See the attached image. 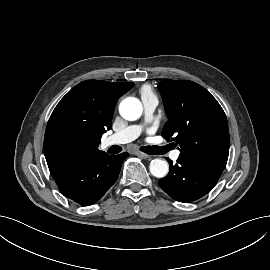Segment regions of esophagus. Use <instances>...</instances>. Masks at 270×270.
Instances as JSON below:
<instances>
[{"label":"esophagus","mask_w":270,"mask_h":270,"mask_svg":"<svg viewBox=\"0 0 270 270\" xmlns=\"http://www.w3.org/2000/svg\"><path fill=\"white\" fill-rule=\"evenodd\" d=\"M135 155L141 157V158H144V159H147L149 158L150 156L146 153H143V152H135Z\"/></svg>","instance_id":"obj_1"}]
</instances>
